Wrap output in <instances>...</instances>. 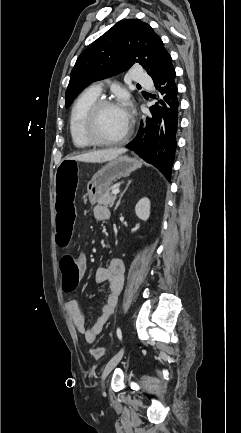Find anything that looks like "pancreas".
Segmentation results:
<instances>
[{"instance_id": "cf45deb5", "label": "pancreas", "mask_w": 241, "mask_h": 433, "mask_svg": "<svg viewBox=\"0 0 241 433\" xmlns=\"http://www.w3.org/2000/svg\"><path fill=\"white\" fill-rule=\"evenodd\" d=\"M117 199L116 195H112L109 190L100 195L97 199V203L99 205H104L106 207H112L115 200Z\"/></svg>"}]
</instances>
